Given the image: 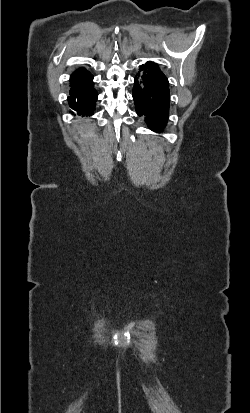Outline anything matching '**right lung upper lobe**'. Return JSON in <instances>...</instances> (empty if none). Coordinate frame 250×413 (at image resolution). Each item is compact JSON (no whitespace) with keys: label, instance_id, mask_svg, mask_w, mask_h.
Instances as JSON below:
<instances>
[{"label":"right lung upper lobe","instance_id":"obj_1","mask_svg":"<svg viewBox=\"0 0 250 413\" xmlns=\"http://www.w3.org/2000/svg\"><path fill=\"white\" fill-rule=\"evenodd\" d=\"M88 74L89 72L87 70L80 68L71 75L70 81L79 80Z\"/></svg>","mask_w":250,"mask_h":413}]
</instances>
